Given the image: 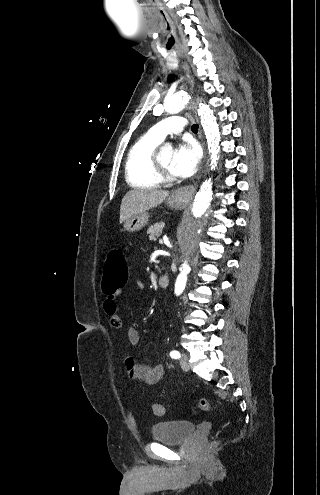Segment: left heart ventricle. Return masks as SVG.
I'll use <instances>...</instances> for the list:
<instances>
[{
  "mask_svg": "<svg viewBox=\"0 0 320 495\" xmlns=\"http://www.w3.org/2000/svg\"><path fill=\"white\" fill-rule=\"evenodd\" d=\"M173 156H174V151L171 148L162 149L160 152V158H161L162 164L170 172H172L171 167H172Z\"/></svg>",
  "mask_w": 320,
  "mask_h": 495,
  "instance_id": "b2bd125f",
  "label": "left heart ventricle"
}]
</instances>
